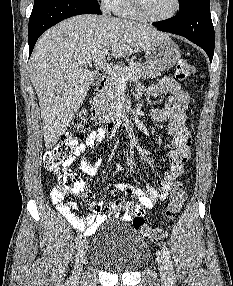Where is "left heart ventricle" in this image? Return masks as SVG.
I'll use <instances>...</instances> for the list:
<instances>
[{"label": "left heart ventricle", "mask_w": 233, "mask_h": 286, "mask_svg": "<svg viewBox=\"0 0 233 286\" xmlns=\"http://www.w3.org/2000/svg\"><path fill=\"white\" fill-rule=\"evenodd\" d=\"M145 12L155 18L170 14L175 6V0H141Z\"/></svg>", "instance_id": "1"}]
</instances>
